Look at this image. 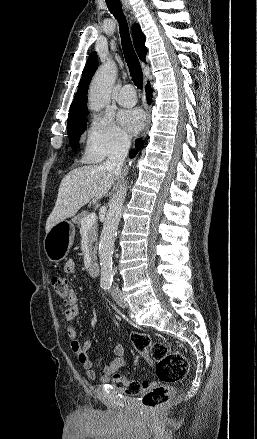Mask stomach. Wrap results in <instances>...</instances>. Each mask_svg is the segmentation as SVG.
<instances>
[{
    "label": "stomach",
    "mask_w": 257,
    "mask_h": 439,
    "mask_svg": "<svg viewBox=\"0 0 257 439\" xmlns=\"http://www.w3.org/2000/svg\"><path fill=\"white\" fill-rule=\"evenodd\" d=\"M75 227L71 221L64 220L55 224L46 234L44 251L52 262L63 260L74 241Z\"/></svg>",
    "instance_id": "obj_1"
}]
</instances>
